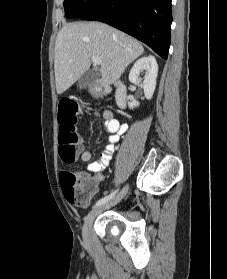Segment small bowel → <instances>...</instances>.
<instances>
[{
    "label": "small bowel",
    "mask_w": 227,
    "mask_h": 279,
    "mask_svg": "<svg viewBox=\"0 0 227 279\" xmlns=\"http://www.w3.org/2000/svg\"><path fill=\"white\" fill-rule=\"evenodd\" d=\"M102 115L105 122V128L109 133L108 143L106 144L104 150L100 153L97 161L90 162L92 153L89 150H83L80 157L82 162L88 163L83 171V175H94L98 183L103 181V171L109 165L120 135L124 134L128 129V125L120 123L118 120L114 119L110 111L106 110L102 113ZM68 200L71 201L70 196Z\"/></svg>",
    "instance_id": "c3829d8e"
}]
</instances>
